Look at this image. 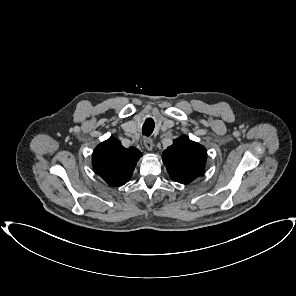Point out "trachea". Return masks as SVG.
Listing matches in <instances>:
<instances>
[{"label":"trachea","instance_id":"3493384b","mask_svg":"<svg viewBox=\"0 0 296 296\" xmlns=\"http://www.w3.org/2000/svg\"><path fill=\"white\" fill-rule=\"evenodd\" d=\"M154 130V121L151 118L145 120L142 126V134L149 137Z\"/></svg>","mask_w":296,"mask_h":296}]
</instances>
